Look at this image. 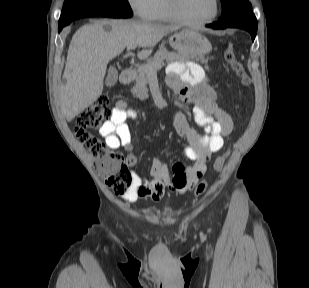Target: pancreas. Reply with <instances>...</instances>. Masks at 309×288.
<instances>
[{
  "instance_id": "1",
  "label": "pancreas",
  "mask_w": 309,
  "mask_h": 288,
  "mask_svg": "<svg viewBox=\"0 0 309 288\" xmlns=\"http://www.w3.org/2000/svg\"><path fill=\"white\" fill-rule=\"evenodd\" d=\"M188 60H195L202 64H207L208 59L202 57H188L182 54L169 52L166 49L158 50L152 59L148 60L146 63L141 64L137 68V77L135 79V86L131 89L133 95L141 100L148 98V89L147 85L151 74L149 73V68H154L159 63H172L175 61L186 62Z\"/></svg>"
}]
</instances>
